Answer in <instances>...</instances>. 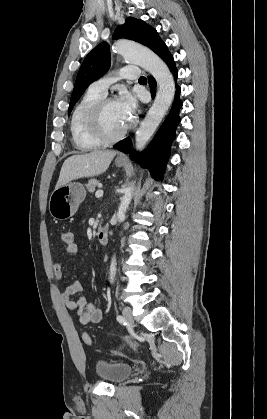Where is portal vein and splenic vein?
Here are the masks:
<instances>
[{
	"label": "portal vein and splenic vein",
	"mask_w": 267,
	"mask_h": 419,
	"mask_svg": "<svg viewBox=\"0 0 267 419\" xmlns=\"http://www.w3.org/2000/svg\"><path fill=\"white\" fill-rule=\"evenodd\" d=\"M95 196H96L97 198L102 197V196H103V190H97V191H96V193H95Z\"/></svg>",
	"instance_id": "18ae733b"
}]
</instances>
